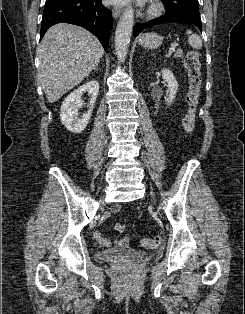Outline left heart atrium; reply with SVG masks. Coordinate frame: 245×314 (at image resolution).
<instances>
[{"mask_svg": "<svg viewBox=\"0 0 245 314\" xmlns=\"http://www.w3.org/2000/svg\"><path fill=\"white\" fill-rule=\"evenodd\" d=\"M112 2H115V3H119V4H121V3H124L125 1H127V0H111Z\"/></svg>", "mask_w": 245, "mask_h": 314, "instance_id": "1", "label": "left heart atrium"}]
</instances>
